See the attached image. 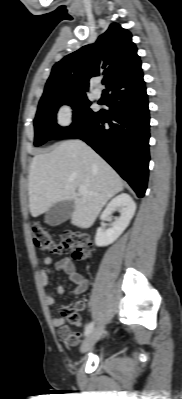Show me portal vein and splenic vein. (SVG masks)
Here are the masks:
<instances>
[{
  "label": "portal vein and splenic vein",
  "mask_w": 182,
  "mask_h": 399,
  "mask_svg": "<svg viewBox=\"0 0 182 399\" xmlns=\"http://www.w3.org/2000/svg\"><path fill=\"white\" fill-rule=\"evenodd\" d=\"M78 191H79V194H81V195H85V194L88 193L86 187L83 186V185H81V186L79 187Z\"/></svg>",
  "instance_id": "1"
}]
</instances>
